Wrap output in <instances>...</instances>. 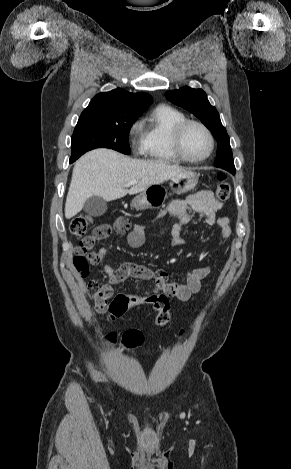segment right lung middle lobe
I'll return each instance as SVG.
<instances>
[{
	"instance_id": "obj_1",
	"label": "right lung middle lobe",
	"mask_w": 291,
	"mask_h": 469,
	"mask_svg": "<svg viewBox=\"0 0 291 469\" xmlns=\"http://www.w3.org/2000/svg\"><path fill=\"white\" fill-rule=\"evenodd\" d=\"M135 120L136 117L80 116L72 135L70 163L95 148H111L127 155L130 154L128 135Z\"/></svg>"
}]
</instances>
